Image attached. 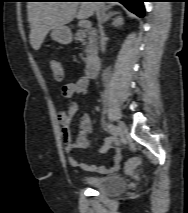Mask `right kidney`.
Returning <instances> with one entry per match:
<instances>
[{
	"label": "right kidney",
	"instance_id": "obj_1",
	"mask_svg": "<svg viewBox=\"0 0 188 213\" xmlns=\"http://www.w3.org/2000/svg\"><path fill=\"white\" fill-rule=\"evenodd\" d=\"M112 25L114 27H118V26L123 25V18L121 16L115 18L114 21H113V23H112Z\"/></svg>",
	"mask_w": 188,
	"mask_h": 213
}]
</instances>
